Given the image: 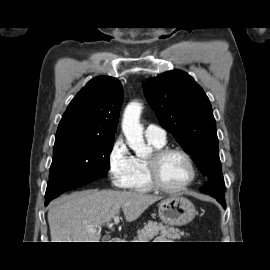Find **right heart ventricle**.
<instances>
[{
    "mask_svg": "<svg viewBox=\"0 0 270 270\" xmlns=\"http://www.w3.org/2000/svg\"><path fill=\"white\" fill-rule=\"evenodd\" d=\"M148 142L154 149L162 148L165 144L150 139H148ZM146 161L143 158H134V175L130 186L133 191L147 193L152 190V186L148 180Z\"/></svg>",
    "mask_w": 270,
    "mask_h": 270,
    "instance_id": "1",
    "label": "right heart ventricle"
}]
</instances>
